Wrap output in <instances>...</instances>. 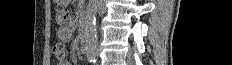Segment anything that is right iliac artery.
<instances>
[{
	"label": "right iliac artery",
	"mask_w": 232,
	"mask_h": 65,
	"mask_svg": "<svg viewBox=\"0 0 232 65\" xmlns=\"http://www.w3.org/2000/svg\"><path fill=\"white\" fill-rule=\"evenodd\" d=\"M91 61H94V60L91 58V59H90V62H91Z\"/></svg>",
	"instance_id": "obj_1"
}]
</instances>
